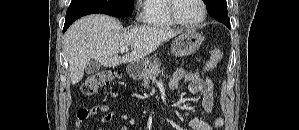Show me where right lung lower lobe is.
Here are the masks:
<instances>
[{
	"mask_svg": "<svg viewBox=\"0 0 299 130\" xmlns=\"http://www.w3.org/2000/svg\"><path fill=\"white\" fill-rule=\"evenodd\" d=\"M93 13H103V14H108L111 16H115V17H122L123 15L120 14H114V13H105L99 10H95V9H85V8H74V9H67L66 12V20H65V24H64V28H63V32H65L69 26L78 18L88 15V14H93Z\"/></svg>",
	"mask_w": 299,
	"mask_h": 130,
	"instance_id": "obj_1",
	"label": "right lung lower lobe"
}]
</instances>
